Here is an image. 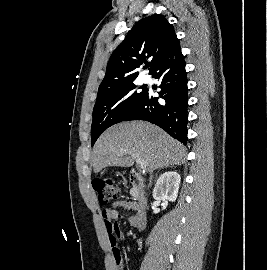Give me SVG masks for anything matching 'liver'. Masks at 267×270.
Returning <instances> with one entry per match:
<instances>
[{
	"mask_svg": "<svg viewBox=\"0 0 267 270\" xmlns=\"http://www.w3.org/2000/svg\"><path fill=\"white\" fill-rule=\"evenodd\" d=\"M186 149L161 128L142 121L122 122L110 127L97 140L92 156L95 173L107 166L130 167L135 157L152 172L185 160Z\"/></svg>",
	"mask_w": 267,
	"mask_h": 270,
	"instance_id": "6515ba94",
	"label": "liver"
}]
</instances>
